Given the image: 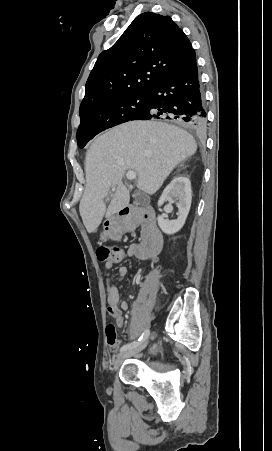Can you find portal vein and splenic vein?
Returning a JSON list of instances; mask_svg holds the SVG:
<instances>
[{"mask_svg":"<svg viewBox=\"0 0 272 451\" xmlns=\"http://www.w3.org/2000/svg\"><path fill=\"white\" fill-rule=\"evenodd\" d=\"M136 176L137 174L136 172H133V170H129L126 174V178H128V180H135ZM112 192H115V188H112Z\"/></svg>","mask_w":272,"mask_h":451,"instance_id":"18ae733b","label":"portal vein and splenic vein"}]
</instances>
